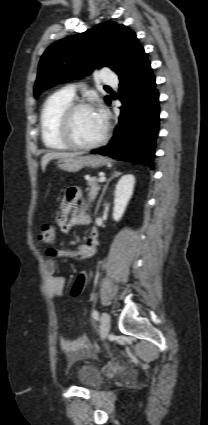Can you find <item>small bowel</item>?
Returning <instances> with one entry per match:
<instances>
[{
	"instance_id": "small-bowel-1",
	"label": "small bowel",
	"mask_w": 208,
	"mask_h": 425,
	"mask_svg": "<svg viewBox=\"0 0 208 425\" xmlns=\"http://www.w3.org/2000/svg\"><path fill=\"white\" fill-rule=\"evenodd\" d=\"M90 216L86 212L85 203L82 199V192L78 187H70L62 199L59 212L57 214V223L64 232H68L74 225L89 224ZM98 235L92 230L87 241L77 247L75 250L53 249L48 251L49 256L72 258L84 260L92 257L96 251ZM47 274V290L53 297H60L64 293V278L56 274L57 265L53 259H48L45 263ZM89 338L82 336L75 340L66 338L60 339V347L67 356L76 360L83 356L89 347Z\"/></svg>"
}]
</instances>
